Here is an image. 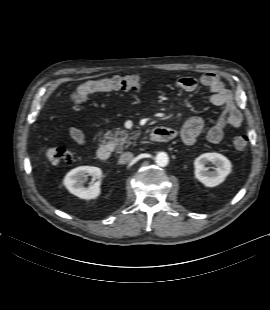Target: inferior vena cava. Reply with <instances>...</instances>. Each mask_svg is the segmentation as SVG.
<instances>
[{
	"instance_id": "obj_1",
	"label": "inferior vena cava",
	"mask_w": 270,
	"mask_h": 310,
	"mask_svg": "<svg viewBox=\"0 0 270 310\" xmlns=\"http://www.w3.org/2000/svg\"><path fill=\"white\" fill-rule=\"evenodd\" d=\"M133 159V154L131 152H125L120 155L119 163L120 164H126L130 162Z\"/></svg>"
}]
</instances>
